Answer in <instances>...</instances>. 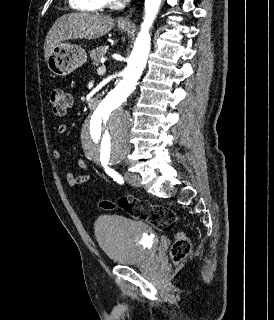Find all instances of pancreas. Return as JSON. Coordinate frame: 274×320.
<instances>
[{"label":"pancreas","mask_w":274,"mask_h":320,"mask_svg":"<svg viewBox=\"0 0 274 320\" xmlns=\"http://www.w3.org/2000/svg\"><path fill=\"white\" fill-rule=\"evenodd\" d=\"M108 50V46H100V48H95V50H91L90 58L93 64H101V58L106 56Z\"/></svg>","instance_id":"obj_1"}]
</instances>
